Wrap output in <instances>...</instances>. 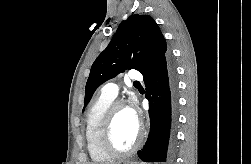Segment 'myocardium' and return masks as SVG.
Returning <instances> with one entry per match:
<instances>
[{
	"label": "myocardium",
	"mask_w": 251,
	"mask_h": 164,
	"mask_svg": "<svg viewBox=\"0 0 251 164\" xmlns=\"http://www.w3.org/2000/svg\"><path fill=\"white\" fill-rule=\"evenodd\" d=\"M126 106L127 104L123 100L113 101L111 105L109 106V108L107 109L104 115L103 121H102L101 129H100V144H101L102 149L111 157L129 156L135 153L142 144L143 128L141 124H138L137 139L135 143L129 149L120 150L113 143L112 134H113V124H114L116 113L120 108L126 107Z\"/></svg>",
	"instance_id": "1"
}]
</instances>
